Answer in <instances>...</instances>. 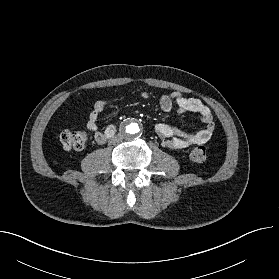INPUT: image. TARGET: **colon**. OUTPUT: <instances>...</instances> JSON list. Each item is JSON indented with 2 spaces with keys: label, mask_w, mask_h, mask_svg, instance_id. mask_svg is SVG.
I'll return each instance as SVG.
<instances>
[{
  "label": "colon",
  "mask_w": 279,
  "mask_h": 279,
  "mask_svg": "<svg viewBox=\"0 0 279 279\" xmlns=\"http://www.w3.org/2000/svg\"><path fill=\"white\" fill-rule=\"evenodd\" d=\"M59 140L66 150H81L88 144L89 133L85 129L64 130L60 133ZM190 156L195 162H203L207 158V149L205 146H198L192 150Z\"/></svg>",
  "instance_id": "5ec220e1"
}]
</instances>
